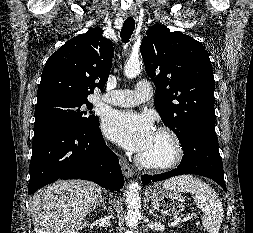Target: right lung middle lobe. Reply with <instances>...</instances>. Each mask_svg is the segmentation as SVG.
Wrapping results in <instances>:
<instances>
[{
    "mask_svg": "<svg viewBox=\"0 0 253 233\" xmlns=\"http://www.w3.org/2000/svg\"><path fill=\"white\" fill-rule=\"evenodd\" d=\"M87 99L52 97L36 104L34 128L45 123H63L88 130L99 123Z\"/></svg>",
    "mask_w": 253,
    "mask_h": 233,
    "instance_id": "obj_1",
    "label": "right lung middle lobe"
}]
</instances>
